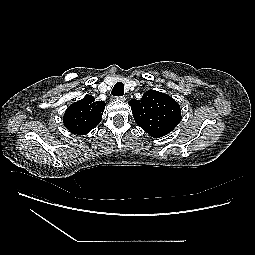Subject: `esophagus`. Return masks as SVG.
Here are the masks:
<instances>
[{"label": "esophagus", "mask_w": 255, "mask_h": 255, "mask_svg": "<svg viewBox=\"0 0 255 255\" xmlns=\"http://www.w3.org/2000/svg\"><path fill=\"white\" fill-rule=\"evenodd\" d=\"M116 99L119 101H125L126 98L124 96H121V97H116Z\"/></svg>", "instance_id": "esophagus-1"}]
</instances>
